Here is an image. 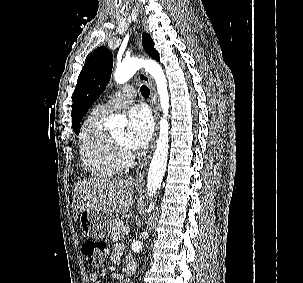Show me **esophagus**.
Segmentation results:
<instances>
[{
  "label": "esophagus",
  "instance_id": "esophagus-1",
  "mask_svg": "<svg viewBox=\"0 0 303 283\" xmlns=\"http://www.w3.org/2000/svg\"><path fill=\"white\" fill-rule=\"evenodd\" d=\"M139 50L142 52V46H141L140 42H139ZM139 78L149 86V89H150V100H149V102H150L151 109L153 111L154 121H155V130H154V135H153V138H152L150 149H149L147 155L142 160V162L139 164V166L136 170V173H135V183L137 185H143L144 182H145V176H146L147 168H148L150 159L152 157V153L154 151L156 137H157L158 106H157V93H156L153 81L150 78V76L147 73H145L144 71H141L139 73Z\"/></svg>",
  "mask_w": 303,
  "mask_h": 283
}]
</instances>
